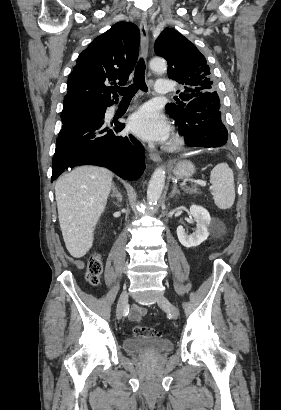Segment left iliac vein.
<instances>
[{
    "mask_svg": "<svg viewBox=\"0 0 281 410\" xmlns=\"http://www.w3.org/2000/svg\"><path fill=\"white\" fill-rule=\"evenodd\" d=\"M158 305L164 309H166L173 319H177L179 316L178 308L165 296H161L158 300Z\"/></svg>",
    "mask_w": 281,
    "mask_h": 410,
    "instance_id": "1",
    "label": "left iliac vein"
}]
</instances>
